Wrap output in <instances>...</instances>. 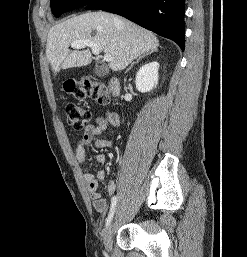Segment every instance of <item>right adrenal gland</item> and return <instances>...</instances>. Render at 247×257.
Segmentation results:
<instances>
[{"mask_svg":"<svg viewBox=\"0 0 247 257\" xmlns=\"http://www.w3.org/2000/svg\"><path fill=\"white\" fill-rule=\"evenodd\" d=\"M152 52H147V53H144L143 55L139 56L135 62H132L130 67L126 70V73L133 67V65L135 63H139L140 60H142L143 58L147 57L148 55H150Z\"/></svg>","mask_w":247,"mask_h":257,"instance_id":"right-adrenal-gland-1","label":"right adrenal gland"}]
</instances>
